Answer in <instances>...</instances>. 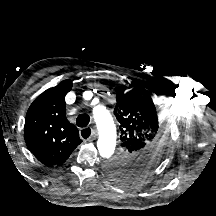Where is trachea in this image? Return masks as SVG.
Returning a JSON list of instances; mask_svg holds the SVG:
<instances>
[{"label":"trachea","instance_id":"1","mask_svg":"<svg viewBox=\"0 0 216 216\" xmlns=\"http://www.w3.org/2000/svg\"><path fill=\"white\" fill-rule=\"evenodd\" d=\"M90 122V117L87 114H80L76 119V125L78 127H86ZM84 139H87L90 136V132L87 134H82Z\"/></svg>","mask_w":216,"mask_h":216}]
</instances>
